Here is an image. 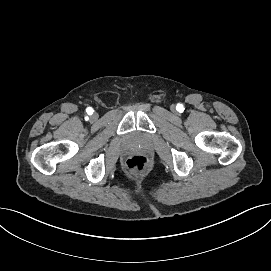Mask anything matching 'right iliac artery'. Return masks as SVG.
Returning a JSON list of instances; mask_svg holds the SVG:
<instances>
[{
  "label": "right iliac artery",
  "mask_w": 271,
  "mask_h": 271,
  "mask_svg": "<svg viewBox=\"0 0 271 271\" xmlns=\"http://www.w3.org/2000/svg\"><path fill=\"white\" fill-rule=\"evenodd\" d=\"M86 111H87V113H88L89 115H91V114L93 113V109H92L91 107H88V108L86 109Z\"/></svg>",
  "instance_id": "1"
}]
</instances>
